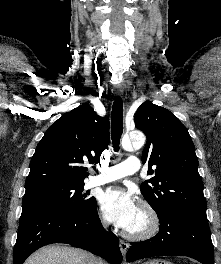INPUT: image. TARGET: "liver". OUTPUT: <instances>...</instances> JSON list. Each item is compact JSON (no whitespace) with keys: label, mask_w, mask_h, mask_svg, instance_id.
I'll use <instances>...</instances> for the list:
<instances>
[{"label":"liver","mask_w":221,"mask_h":264,"mask_svg":"<svg viewBox=\"0 0 221 264\" xmlns=\"http://www.w3.org/2000/svg\"><path fill=\"white\" fill-rule=\"evenodd\" d=\"M24 264H103L86 251L66 246L50 245L32 254Z\"/></svg>","instance_id":"obj_1"}]
</instances>
